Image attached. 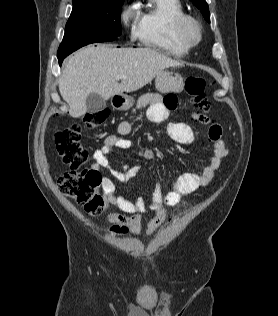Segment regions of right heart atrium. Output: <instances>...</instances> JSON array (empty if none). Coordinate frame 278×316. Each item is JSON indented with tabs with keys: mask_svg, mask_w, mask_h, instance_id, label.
<instances>
[{
	"mask_svg": "<svg viewBox=\"0 0 278 316\" xmlns=\"http://www.w3.org/2000/svg\"><path fill=\"white\" fill-rule=\"evenodd\" d=\"M138 18L139 11L136 3L133 1H125L120 8L119 20L132 38L136 37Z\"/></svg>",
	"mask_w": 278,
	"mask_h": 316,
	"instance_id": "right-heart-atrium-1",
	"label": "right heart atrium"
}]
</instances>
